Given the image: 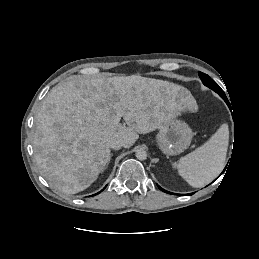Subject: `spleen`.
Here are the masks:
<instances>
[{
    "label": "spleen",
    "instance_id": "obj_1",
    "mask_svg": "<svg viewBox=\"0 0 259 259\" xmlns=\"http://www.w3.org/2000/svg\"><path fill=\"white\" fill-rule=\"evenodd\" d=\"M229 144V129L222 124L202 146L174 164L189 185L198 188L211 182L223 169Z\"/></svg>",
    "mask_w": 259,
    "mask_h": 259
}]
</instances>
